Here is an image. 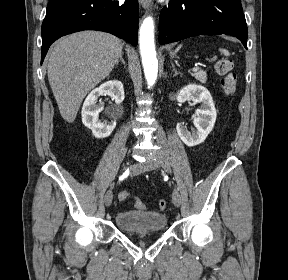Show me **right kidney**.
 Returning a JSON list of instances; mask_svg holds the SVG:
<instances>
[{
    "label": "right kidney",
    "mask_w": 288,
    "mask_h": 280,
    "mask_svg": "<svg viewBox=\"0 0 288 280\" xmlns=\"http://www.w3.org/2000/svg\"><path fill=\"white\" fill-rule=\"evenodd\" d=\"M100 95H108L116 104H120L124 100L123 85L118 80L103 83L89 93L82 107L83 124L92 130V134L96 138H106L114 130L116 121L99 118V113L103 110V107L97 106L96 103Z\"/></svg>",
    "instance_id": "1"
}]
</instances>
